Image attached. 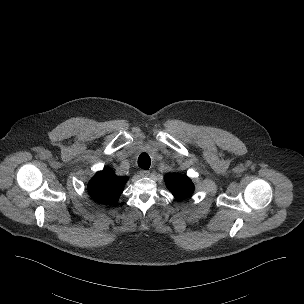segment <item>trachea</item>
Instances as JSON below:
<instances>
[{"instance_id":"3493384b","label":"trachea","mask_w":304,"mask_h":304,"mask_svg":"<svg viewBox=\"0 0 304 304\" xmlns=\"http://www.w3.org/2000/svg\"><path fill=\"white\" fill-rule=\"evenodd\" d=\"M151 165V159L147 153H142L138 158V166L142 169H149Z\"/></svg>"}]
</instances>
